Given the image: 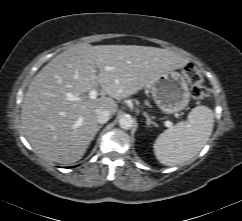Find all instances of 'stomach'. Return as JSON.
I'll use <instances>...</instances> for the list:
<instances>
[{"mask_svg":"<svg viewBox=\"0 0 242 221\" xmlns=\"http://www.w3.org/2000/svg\"><path fill=\"white\" fill-rule=\"evenodd\" d=\"M152 97L165 114L183 110L190 101V91L184 72L170 70L149 82Z\"/></svg>","mask_w":242,"mask_h":221,"instance_id":"stomach-1","label":"stomach"}]
</instances>
